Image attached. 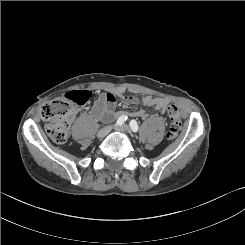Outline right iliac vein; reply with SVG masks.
I'll use <instances>...</instances> for the list:
<instances>
[{
	"mask_svg": "<svg viewBox=\"0 0 245 245\" xmlns=\"http://www.w3.org/2000/svg\"><path fill=\"white\" fill-rule=\"evenodd\" d=\"M110 131H111V126H106L97 133V137L100 139L104 138L106 135H108Z\"/></svg>",
	"mask_w": 245,
	"mask_h": 245,
	"instance_id": "obj_1",
	"label": "right iliac vein"
}]
</instances>
